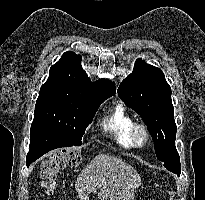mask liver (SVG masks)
<instances>
[{
    "label": "liver",
    "instance_id": "liver-1",
    "mask_svg": "<svg viewBox=\"0 0 205 200\" xmlns=\"http://www.w3.org/2000/svg\"><path fill=\"white\" fill-rule=\"evenodd\" d=\"M140 185V175L131 165L113 155L101 153L82 169L75 189L81 198L97 193L99 200H132Z\"/></svg>",
    "mask_w": 205,
    "mask_h": 200
}]
</instances>
